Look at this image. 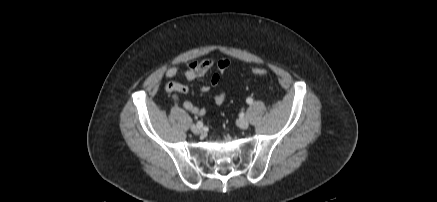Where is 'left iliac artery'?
<instances>
[{
  "instance_id": "left-iliac-artery-1",
  "label": "left iliac artery",
  "mask_w": 437,
  "mask_h": 202,
  "mask_svg": "<svg viewBox=\"0 0 437 202\" xmlns=\"http://www.w3.org/2000/svg\"><path fill=\"white\" fill-rule=\"evenodd\" d=\"M246 102H247L248 104H252V103H253V99L249 97V98H247Z\"/></svg>"
}]
</instances>
